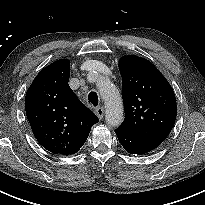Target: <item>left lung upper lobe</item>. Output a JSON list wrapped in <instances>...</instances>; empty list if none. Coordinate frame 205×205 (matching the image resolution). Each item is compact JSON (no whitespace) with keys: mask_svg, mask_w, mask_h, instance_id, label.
Returning a JSON list of instances; mask_svg holds the SVG:
<instances>
[{"mask_svg":"<svg viewBox=\"0 0 205 205\" xmlns=\"http://www.w3.org/2000/svg\"><path fill=\"white\" fill-rule=\"evenodd\" d=\"M125 119L119 128L161 144L176 119V99L171 85L147 59L127 55L120 59Z\"/></svg>","mask_w":205,"mask_h":205,"instance_id":"obj_1","label":"left lung upper lobe"}]
</instances>
